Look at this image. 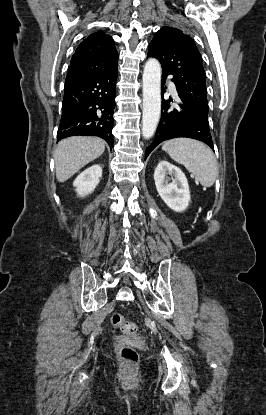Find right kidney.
<instances>
[{"instance_id": "obj_1", "label": "right kidney", "mask_w": 266, "mask_h": 415, "mask_svg": "<svg viewBox=\"0 0 266 415\" xmlns=\"http://www.w3.org/2000/svg\"><path fill=\"white\" fill-rule=\"evenodd\" d=\"M102 177V168L100 165H93L84 170L73 182L76 192L79 196L84 197L94 191Z\"/></svg>"}]
</instances>
